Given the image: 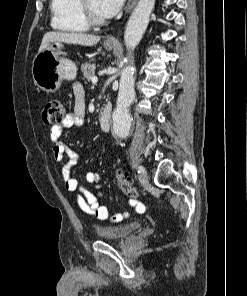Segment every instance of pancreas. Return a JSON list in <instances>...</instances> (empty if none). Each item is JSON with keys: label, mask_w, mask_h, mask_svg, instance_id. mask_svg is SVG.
<instances>
[{"label": "pancreas", "mask_w": 247, "mask_h": 296, "mask_svg": "<svg viewBox=\"0 0 247 296\" xmlns=\"http://www.w3.org/2000/svg\"><path fill=\"white\" fill-rule=\"evenodd\" d=\"M95 64L91 62H86L81 66V71L83 74V79L90 81L92 77L95 76Z\"/></svg>", "instance_id": "cf45deb5"}]
</instances>
